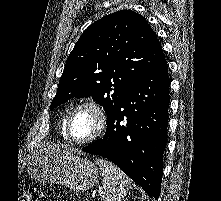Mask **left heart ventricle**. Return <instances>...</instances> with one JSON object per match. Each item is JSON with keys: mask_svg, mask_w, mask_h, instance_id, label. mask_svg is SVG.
Wrapping results in <instances>:
<instances>
[{"mask_svg": "<svg viewBox=\"0 0 221 201\" xmlns=\"http://www.w3.org/2000/svg\"><path fill=\"white\" fill-rule=\"evenodd\" d=\"M97 128V119L88 109L77 111L71 121V134L75 139L90 137Z\"/></svg>", "mask_w": 221, "mask_h": 201, "instance_id": "left-heart-ventricle-1", "label": "left heart ventricle"}]
</instances>
